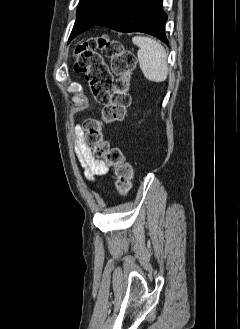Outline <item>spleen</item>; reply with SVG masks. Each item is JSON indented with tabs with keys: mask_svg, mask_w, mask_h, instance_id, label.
<instances>
[{
	"mask_svg": "<svg viewBox=\"0 0 240 329\" xmlns=\"http://www.w3.org/2000/svg\"><path fill=\"white\" fill-rule=\"evenodd\" d=\"M132 41L139 47L137 56L145 78L152 82L165 81L168 65L164 47L150 37L135 36Z\"/></svg>",
	"mask_w": 240,
	"mask_h": 329,
	"instance_id": "1",
	"label": "spleen"
}]
</instances>
